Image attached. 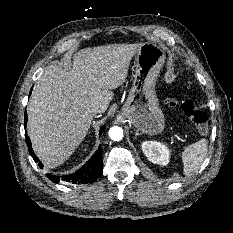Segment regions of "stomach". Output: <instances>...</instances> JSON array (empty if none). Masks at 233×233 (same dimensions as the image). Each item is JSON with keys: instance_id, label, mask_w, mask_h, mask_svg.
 Segmentation results:
<instances>
[{"instance_id": "stomach-1", "label": "stomach", "mask_w": 233, "mask_h": 233, "mask_svg": "<svg viewBox=\"0 0 233 233\" xmlns=\"http://www.w3.org/2000/svg\"><path fill=\"white\" fill-rule=\"evenodd\" d=\"M165 58L161 46L150 42L141 45L135 56L133 85L121 112L137 130L151 136L161 134L165 128V117L155 92Z\"/></svg>"}]
</instances>
